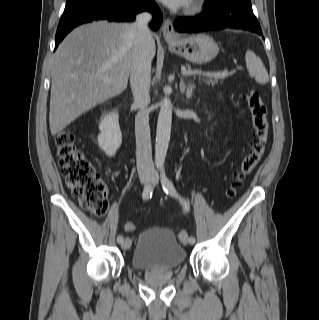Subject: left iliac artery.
<instances>
[{
	"label": "left iliac artery",
	"mask_w": 319,
	"mask_h": 320,
	"mask_svg": "<svg viewBox=\"0 0 319 320\" xmlns=\"http://www.w3.org/2000/svg\"><path fill=\"white\" fill-rule=\"evenodd\" d=\"M160 174H161V183H162V187H163V190L165 191V193L169 194L170 196L172 197H175V198H179L180 202L182 203L185 211H189L190 210V205L188 202H186L184 199H182L173 183L167 178L166 174H165V169L163 166H160ZM183 232L180 233V235L182 234ZM188 241L190 244H194L195 243V238L193 236L189 237L188 238Z\"/></svg>",
	"instance_id": "obj_1"
}]
</instances>
